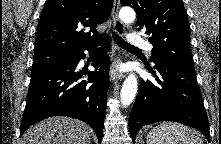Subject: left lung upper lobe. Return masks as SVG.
Returning <instances> with one entry per match:
<instances>
[{
  "mask_svg": "<svg viewBox=\"0 0 221 144\" xmlns=\"http://www.w3.org/2000/svg\"><path fill=\"white\" fill-rule=\"evenodd\" d=\"M138 14L137 25L149 35L151 59L171 61L194 68L190 52V25L181 0H121Z\"/></svg>",
  "mask_w": 221,
  "mask_h": 144,
  "instance_id": "left-lung-upper-lobe-1",
  "label": "left lung upper lobe"
}]
</instances>
